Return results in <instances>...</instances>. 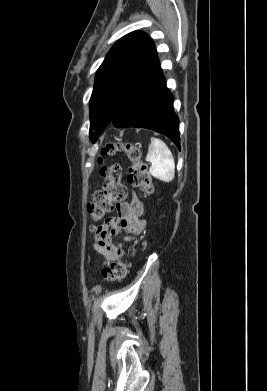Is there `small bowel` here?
I'll return each instance as SVG.
<instances>
[{
    "label": "small bowel",
    "instance_id": "small-bowel-1",
    "mask_svg": "<svg viewBox=\"0 0 267 391\" xmlns=\"http://www.w3.org/2000/svg\"><path fill=\"white\" fill-rule=\"evenodd\" d=\"M118 217L108 218L106 222L99 227L94 249L99 253L104 264L108 265L113 261L119 260L124 255L121 244H115L112 236L125 232V243L137 242L146 229V222L141 218L143 214V203L133 194L131 201L119 202L116 205Z\"/></svg>",
    "mask_w": 267,
    "mask_h": 391
}]
</instances>
